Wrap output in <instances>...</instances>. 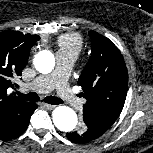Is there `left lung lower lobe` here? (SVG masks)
Wrapping results in <instances>:
<instances>
[{
	"label": "left lung lower lobe",
	"instance_id": "obj_1",
	"mask_svg": "<svg viewBox=\"0 0 153 153\" xmlns=\"http://www.w3.org/2000/svg\"><path fill=\"white\" fill-rule=\"evenodd\" d=\"M66 136L69 140L76 143H87L100 137L96 136L95 134L88 133L87 131L81 133L78 132L67 133Z\"/></svg>",
	"mask_w": 153,
	"mask_h": 153
}]
</instances>
